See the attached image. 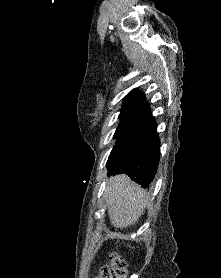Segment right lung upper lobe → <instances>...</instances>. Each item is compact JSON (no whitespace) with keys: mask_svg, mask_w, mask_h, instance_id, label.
I'll use <instances>...</instances> for the list:
<instances>
[{"mask_svg":"<svg viewBox=\"0 0 221 278\" xmlns=\"http://www.w3.org/2000/svg\"><path fill=\"white\" fill-rule=\"evenodd\" d=\"M134 105H147L143 93L138 91L137 89L132 90L127 95L122 106L127 107V106H134Z\"/></svg>","mask_w":221,"mask_h":278,"instance_id":"cb5924a9","label":"right lung upper lobe"}]
</instances>
